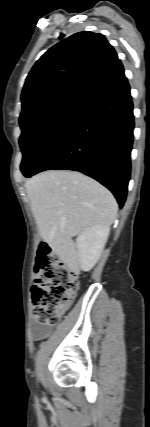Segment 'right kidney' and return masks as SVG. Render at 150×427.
I'll use <instances>...</instances> for the list:
<instances>
[{
  "label": "right kidney",
  "instance_id": "right-kidney-1",
  "mask_svg": "<svg viewBox=\"0 0 150 427\" xmlns=\"http://www.w3.org/2000/svg\"><path fill=\"white\" fill-rule=\"evenodd\" d=\"M110 227L93 225L83 230L76 239V247L83 271L91 270L99 260L107 242Z\"/></svg>",
  "mask_w": 150,
  "mask_h": 427
}]
</instances>
